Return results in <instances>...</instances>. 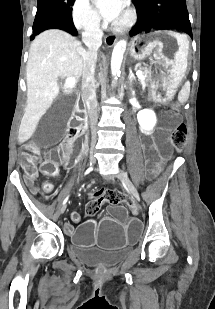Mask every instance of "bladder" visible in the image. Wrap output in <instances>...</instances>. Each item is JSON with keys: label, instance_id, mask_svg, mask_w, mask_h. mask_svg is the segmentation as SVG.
Instances as JSON below:
<instances>
[{"label": "bladder", "instance_id": "obj_1", "mask_svg": "<svg viewBox=\"0 0 215 309\" xmlns=\"http://www.w3.org/2000/svg\"><path fill=\"white\" fill-rule=\"evenodd\" d=\"M128 251L121 250L117 252H81L75 251L76 257L79 261L91 267H113L121 263L127 257Z\"/></svg>", "mask_w": 215, "mask_h": 309}]
</instances>
